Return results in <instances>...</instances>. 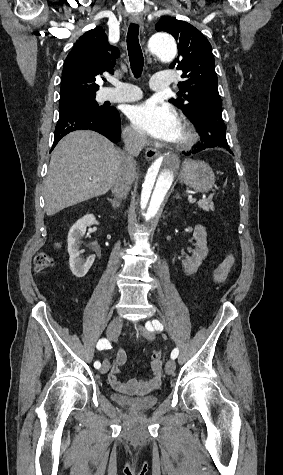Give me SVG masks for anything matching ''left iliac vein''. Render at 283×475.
<instances>
[{
    "label": "left iliac vein",
    "instance_id": "4c4485c4",
    "mask_svg": "<svg viewBox=\"0 0 283 475\" xmlns=\"http://www.w3.org/2000/svg\"><path fill=\"white\" fill-rule=\"evenodd\" d=\"M138 331L148 340L153 341L155 339V336L152 332V330H147L145 327L139 325L138 326ZM176 370V363L173 359H170L166 362L165 364V372L168 375H171L175 372Z\"/></svg>",
    "mask_w": 283,
    "mask_h": 475
}]
</instances>
